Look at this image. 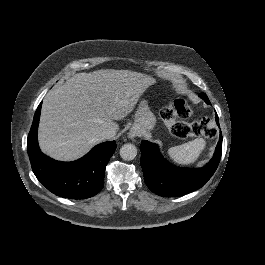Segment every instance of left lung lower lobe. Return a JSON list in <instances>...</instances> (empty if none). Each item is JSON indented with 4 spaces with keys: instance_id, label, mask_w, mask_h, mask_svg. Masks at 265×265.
Here are the masks:
<instances>
[{
    "instance_id": "left-lung-lower-lobe-1",
    "label": "left lung lower lobe",
    "mask_w": 265,
    "mask_h": 265,
    "mask_svg": "<svg viewBox=\"0 0 265 265\" xmlns=\"http://www.w3.org/2000/svg\"><path fill=\"white\" fill-rule=\"evenodd\" d=\"M207 104L210 101L206 94L199 95ZM216 122L219 125L217 114ZM141 166L144 181L155 194L163 197H177L201 188L214 174L222 154V135L213 158L203 168H179L167 162L159 152L156 144L142 141Z\"/></svg>"
}]
</instances>
